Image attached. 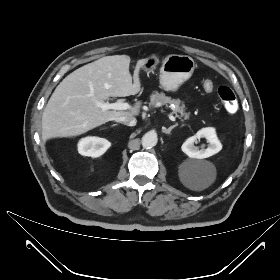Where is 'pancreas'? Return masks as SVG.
I'll use <instances>...</instances> for the list:
<instances>
[{
	"label": "pancreas",
	"mask_w": 280,
	"mask_h": 280,
	"mask_svg": "<svg viewBox=\"0 0 280 280\" xmlns=\"http://www.w3.org/2000/svg\"><path fill=\"white\" fill-rule=\"evenodd\" d=\"M162 105H174L173 113L179 117L184 118V120H188L190 118V112H186V107L184 102L179 99H172L171 97L166 96L163 92L159 93L158 91H154L150 95V108H157Z\"/></svg>",
	"instance_id": "pancreas-1"
}]
</instances>
